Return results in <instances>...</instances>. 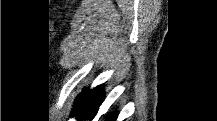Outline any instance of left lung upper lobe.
I'll return each instance as SVG.
<instances>
[{
	"label": "left lung upper lobe",
	"mask_w": 217,
	"mask_h": 121,
	"mask_svg": "<svg viewBox=\"0 0 217 121\" xmlns=\"http://www.w3.org/2000/svg\"><path fill=\"white\" fill-rule=\"evenodd\" d=\"M89 93L90 90L85 89L81 94H79L78 98L75 100V104L73 105L74 108L71 112V116H76L77 118L80 116L88 100Z\"/></svg>",
	"instance_id": "1"
}]
</instances>
